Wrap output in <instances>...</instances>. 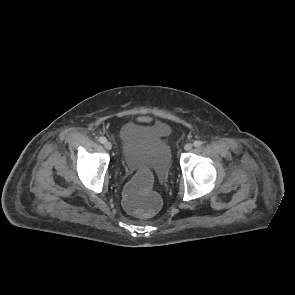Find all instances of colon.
<instances>
[{"mask_svg":"<svg viewBox=\"0 0 295 295\" xmlns=\"http://www.w3.org/2000/svg\"><path fill=\"white\" fill-rule=\"evenodd\" d=\"M155 181L156 174L152 168H137L121 195L122 206L136 217L154 215L160 207V197L152 191Z\"/></svg>","mask_w":295,"mask_h":295,"instance_id":"5ec220e1","label":"colon"}]
</instances>
